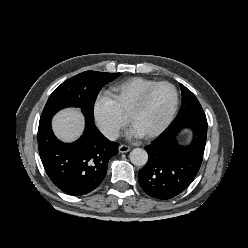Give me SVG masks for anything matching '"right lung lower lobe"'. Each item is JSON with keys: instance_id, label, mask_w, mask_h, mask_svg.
Returning <instances> with one entry per match:
<instances>
[{"instance_id": "right-lung-lower-lobe-1", "label": "right lung lower lobe", "mask_w": 248, "mask_h": 248, "mask_svg": "<svg viewBox=\"0 0 248 248\" xmlns=\"http://www.w3.org/2000/svg\"><path fill=\"white\" fill-rule=\"evenodd\" d=\"M117 147L118 143L104 137L88 119L82 137L73 143L55 137L51 119L39 123L38 149L45 171L60 190L73 196L87 194L100 185Z\"/></svg>"}]
</instances>
